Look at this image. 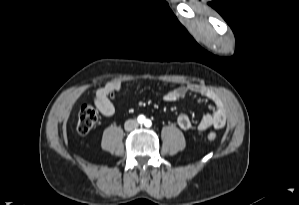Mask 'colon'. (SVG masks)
I'll return each mask as SVG.
<instances>
[{
	"label": "colon",
	"mask_w": 299,
	"mask_h": 205,
	"mask_svg": "<svg viewBox=\"0 0 299 205\" xmlns=\"http://www.w3.org/2000/svg\"><path fill=\"white\" fill-rule=\"evenodd\" d=\"M98 122V114L96 110L89 104H83L80 107L77 122V131L81 135H87L92 131ZM209 141L216 140V134L209 132L207 135Z\"/></svg>",
	"instance_id": "1"
}]
</instances>
